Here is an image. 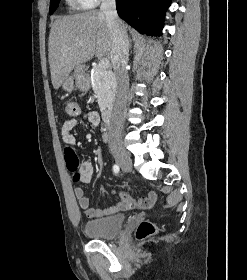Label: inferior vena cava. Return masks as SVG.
Segmentation results:
<instances>
[{"label": "inferior vena cava", "instance_id": "obj_1", "mask_svg": "<svg viewBox=\"0 0 247 280\" xmlns=\"http://www.w3.org/2000/svg\"><path fill=\"white\" fill-rule=\"evenodd\" d=\"M101 12L105 15L107 27L112 37L111 62L117 81L116 99L112 122L109 129V142L119 141L121 131V112L125 104L128 88L126 65L128 61V35L119 19L115 0H102Z\"/></svg>", "mask_w": 247, "mask_h": 280}]
</instances>
